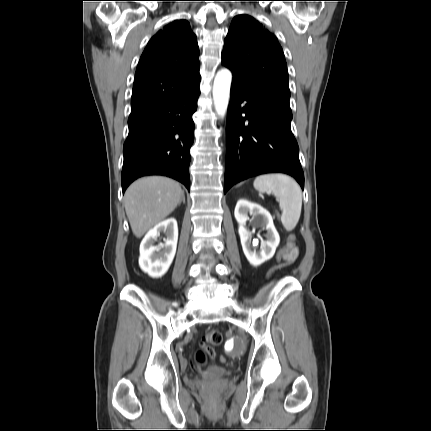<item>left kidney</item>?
<instances>
[{
    "label": "left kidney",
    "mask_w": 431,
    "mask_h": 431,
    "mask_svg": "<svg viewBox=\"0 0 431 431\" xmlns=\"http://www.w3.org/2000/svg\"><path fill=\"white\" fill-rule=\"evenodd\" d=\"M248 213L253 216V222L256 226L267 230V240L261 242L260 250H257L254 244H251V232L246 228V222L249 219ZM234 215L239 224L238 233L242 249L250 264L259 266L271 259L279 245L280 237L270 213L258 204L240 199L236 204Z\"/></svg>",
    "instance_id": "5707ae66"
}]
</instances>
